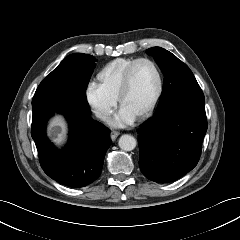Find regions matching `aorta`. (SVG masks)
Here are the masks:
<instances>
[{
  "label": "aorta",
  "mask_w": 240,
  "mask_h": 240,
  "mask_svg": "<svg viewBox=\"0 0 240 240\" xmlns=\"http://www.w3.org/2000/svg\"><path fill=\"white\" fill-rule=\"evenodd\" d=\"M119 147L124 151H132L136 147V139L128 134H124L119 138Z\"/></svg>",
  "instance_id": "obj_1"
}]
</instances>
